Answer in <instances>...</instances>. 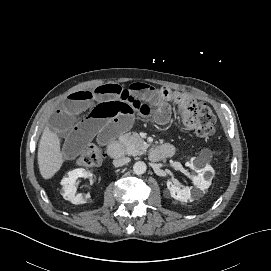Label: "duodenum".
Wrapping results in <instances>:
<instances>
[{"instance_id":"1","label":"duodenum","mask_w":271,"mask_h":271,"mask_svg":"<svg viewBox=\"0 0 271 271\" xmlns=\"http://www.w3.org/2000/svg\"><path fill=\"white\" fill-rule=\"evenodd\" d=\"M107 153L113 159H120L124 155L122 145L117 141L109 142L107 146ZM149 153L151 158L154 160L166 158L168 155V152H165L161 148H151Z\"/></svg>"}]
</instances>
